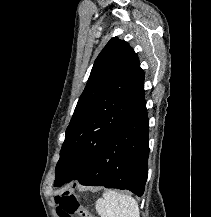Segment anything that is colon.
<instances>
[{
  "instance_id": "colon-1",
  "label": "colon",
  "mask_w": 211,
  "mask_h": 217,
  "mask_svg": "<svg viewBox=\"0 0 211 217\" xmlns=\"http://www.w3.org/2000/svg\"><path fill=\"white\" fill-rule=\"evenodd\" d=\"M56 201L60 217H71L74 214H79L81 217H95L80 205L72 191L64 192L56 198Z\"/></svg>"
}]
</instances>
